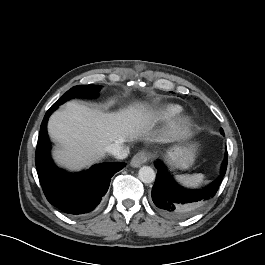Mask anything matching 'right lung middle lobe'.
Returning a JSON list of instances; mask_svg holds the SVG:
<instances>
[{"label": "right lung middle lobe", "instance_id": "obj_1", "mask_svg": "<svg viewBox=\"0 0 265 265\" xmlns=\"http://www.w3.org/2000/svg\"><path fill=\"white\" fill-rule=\"evenodd\" d=\"M100 86L98 85H78L68 90L58 101L53 105L59 106L69 99L74 97L94 98L98 96Z\"/></svg>", "mask_w": 265, "mask_h": 265}]
</instances>
